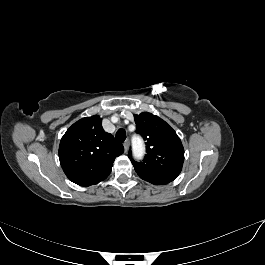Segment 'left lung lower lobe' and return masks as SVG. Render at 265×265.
<instances>
[{"mask_svg":"<svg viewBox=\"0 0 265 265\" xmlns=\"http://www.w3.org/2000/svg\"><path fill=\"white\" fill-rule=\"evenodd\" d=\"M148 182H150L152 184H155V185H164V184H167V182H160V181H148Z\"/></svg>","mask_w":265,"mask_h":265,"instance_id":"1","label":"left lung lower lobe"}]
</instances>
